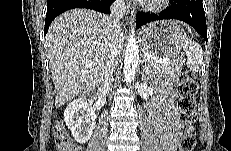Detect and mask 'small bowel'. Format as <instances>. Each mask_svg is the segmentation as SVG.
Here are the masks:
<instances>
[{
	"label": "small bowel",
	"mask_w": 231,
	"mask_h": 151,
	"mask_svg": "<svg viewBox=\"0 0 231 151\" xmlns=\"http://www.w3.org/2000/svg\"><path fill=\"white\" fill-rule=\"evenodd\" d=\"M174 83L173 77L159 82L155 89L157 95L149 104L150 119L164 151H176L178 139L184 129L174 104Z\"/></svg>",
	"instance_id": "obj_1"
}]
</instances>
